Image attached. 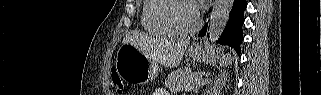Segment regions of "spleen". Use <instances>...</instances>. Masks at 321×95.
Returning a JSON list of instances; mask_svg holds the SVG:
<instances>
[{
  "mask_svg": "<svg viewBox=\"0 0 321 95\" xmlns=\"http://www.w3.org/2000/svg\"><path fill=\"white\" fill-rule=\"evenodd\" d=\"M232 61L231 55L226 54L220 59V65L221 66H227Z\"/></svg>",
  "mask_w": 321,
  "mask_h": 95,
  "instance_id": "1",
  "label": "spleen"
}]
</instances>
